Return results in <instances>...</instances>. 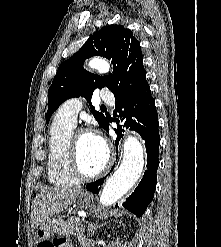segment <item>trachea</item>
Listing matches in <instances>:
<instances>
[{"label": "trachea", "instance_id": "obj_1", "mask_svg": "<svg viewBox=\"0 0 221 247\" xmlns=\"http://www.w3.org/2000/svg\"><path fill=\"white\" fill-rule=\"evenodd\" d=\"M101 108H102V109H106V106H105V105H101Z\"/></svg>", "mask_w": 221, "mask_h": 247}]
</instances>
